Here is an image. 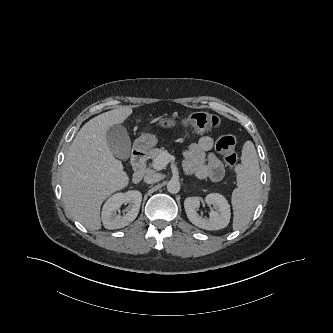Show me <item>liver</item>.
<instances>
[{"label":"liver","instance_id":"liver-1","mask_svg":"<svg viewBox=\"0 0 333 333\" xmlns=\"http://www.w3.org/2000/svg\"><path fill=\"white\" fill-rule=\"evenodd\" d=\"M131 114V107L123 106L92 118L77 133L65 156L63 201L67 211L87 229L101 228L103 201L129 183L123 164L108 147L106 132Z\"/></svg>","mask_w":333,"mask_h":333}]
</instances>
